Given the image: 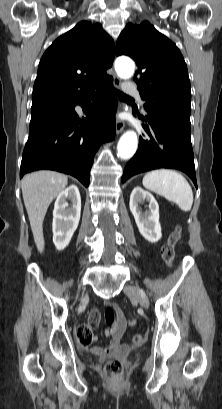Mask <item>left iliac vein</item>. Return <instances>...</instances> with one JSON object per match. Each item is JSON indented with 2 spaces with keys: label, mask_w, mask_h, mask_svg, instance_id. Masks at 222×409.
<instances>
[{
  "label": "left iliac vein",
  "mask_w": 222,
  "mask_h": 409,
  "mask_svg": "<svg viewBox=\"0 0 222 409\" xmlns=\"http://www.w3.org/2000/svg\"><path fill=\"white\" fill-rule=\"evenodd\" d=\"M124 292L130 299L138 301L142 307H149L148 298L142 289L128 285L124 288Z\"/></svg>",
  "instance_id": "1"
}]
</instances>
